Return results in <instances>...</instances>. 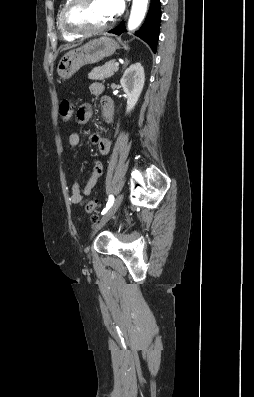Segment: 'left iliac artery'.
<instances>
[{"instance_id":"44dca946","label":"left iliac artery","mask_w":254,"mask_h":397,"mask_svg":"<svg viewBox=\"0 0 254 397\" xmlns=\"http://www.w3.org/2000/svg\"><path fill=\"white\" fill-rule=\"evenodd\" d=\"M113 203H114V197L111 195V196H109L106 207L103 209L101 214L102 215L105 214L108 211V209L112 206Z\"/></svg>"}]
</instances>
